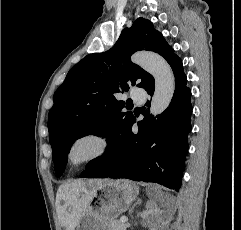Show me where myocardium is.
I'll use <instances>...</instances> for the list:
<instances>
[{
  "label": "myocardium",
  "instance_id": "obj_1",
  "mask_svg": "<svg viewBox=\"0 0 241 230\" xmlns=\"http://www.w3.org/2000/svg\"><path fill=\"white\" fill-rule=\"evenodd\" d=\"M85 139H90L93 140L97 143V149L94 153H92L90 156L86 157L85 159L79 161V162H73L71 160V151L74 147V145L82 140ZM111 147V141L110 138L96 130H89V131H84L78 135H76L68 144L66 151H65V160L68 164L69 167L71 168H79L81 166H84L86 164H89L93 161H96L103 156H105Z\"/></svg>",
  "mask_w": 241,
  "mask_h": 230
}]
</instances>
